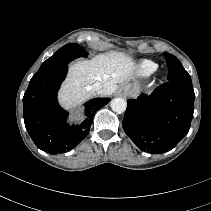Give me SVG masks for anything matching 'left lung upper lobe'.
<instances>
[{
  "mask_svg": "<svg viewBox=\"0 0 211 211\" xmlns=\"http://www.w3.org/2000/svg\"><path fill=\"white\" fill-rule=\"evenodd\" d=\"M164 57L167 61L168 67V81H184L192 83L190 75L175 56L164 53Z\"/></svg>",
  "mask_w": 211,
  "mask_h": 211,
  "instance_id": "obj_1",
  "label": "left lung upper lobe"
}]
</instances>
